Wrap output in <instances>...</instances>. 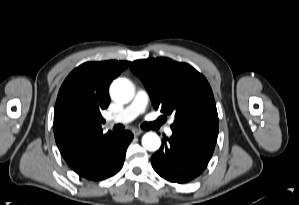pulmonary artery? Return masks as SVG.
<instances>
[{"label": "pulmonary artery", "instance_id": "1", "mask_svg": "<svg viewBox=\"0 0 299 205\" xmlns=\"http://www.w3.org/2000/svg\"><path fill=\"white\" fill-rule=\"evenodd\" d=\"M148 94L144 90L137 91L133 101L124 108L120 113H118L113 119V123H128L134 120L137 116L142 114L148 104ZM166 133L171 136L172 130L170 127L166 128Z\"/></svg>", "mask_w": 299, "mask_h": 205}]
</instances>
